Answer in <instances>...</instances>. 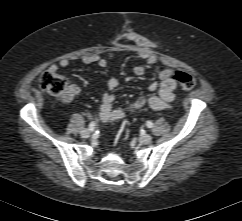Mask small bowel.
<instances>
[{
  "label": "small bowel",
  "instance_id": "c3829d8e",
  "mask_svg": "<svg viewBox=\"0 0 242 221\" xmlns=\"http://www.w3.org/2000/svg\"><path fill=\"white\" fill-rule=\"evenodd\" d=\"M118 49L123 51H130L135 53L144 62L136 65L133 69L135 75H144L150 69H156L158 66V58L150 49L146 40L138 35H127L118 44ZM84 65L97 64L100 67L107 65L106 59L92 54L86 55L82 58ZM70 64L68 59H62L58 64H52L49 67L51 71H57L59 67L66 68ZM174 72L172 68L161 69L157 71V80L149 84V90L154 94L142 97L130 103L125 109L115 108L113 102L115 95L112 91L119 87V80L111 78L107 81V89L109 92L105 93L102 98L100 106L99 117L103 122H110L123 119L127 112L138 111L143 108H150L153 110H166L171 108V104L175 99L176 83L171 75ZM79 93V88L75 85L70 87L71 96H76Z\"/></svg>",
  "mask_w": 242,
  "mask_h": 221
}]
</instances>
